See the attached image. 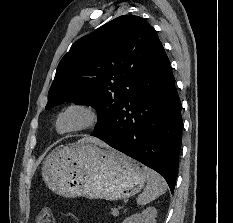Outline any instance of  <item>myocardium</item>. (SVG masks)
I'll use <instances>...</instances> for the list:
<instances>
[{
	"mask_svg": "<svg viewBox=\"0 0 233 223\" xmlns=\"http://www.w3.org/2000/svg\"><path fill=\"white\" fill-rule=\"evenodd\" d=\"M73 108H77V109H81L85 111L90 117V122L86 126L80 129L74 130V131L59 132L57 130V122L60 116L67 110H70ZM102 120H103V117H102L101 110L95 104L90 103V102H85V101H76V102H72V103L65 105L57 112V114L54 117L52 127H53L54 132L60 136L78 135V134H85V133H88V132H91L97 129L102 124Z\"/></svg>",
	"mask_w": 233,
	"mask_h": 223,
	"instance_id": "obj_1",
	"label": "myocardium"
}]
</instances>
